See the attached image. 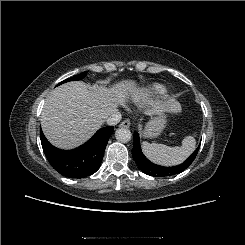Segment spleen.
<instances>
[{
    "mask_svg": "<svg viewBox=\"0 0 245 245\" xmlns=\"http://www.w3.org/2000/svg\"><path fill=\"white\" fill-rule=\"evenodd\" d=\"M142 150L145 156L152 162L174 166L185 161L195 150L196 140L194 136H187L182 141V146L169 147L164 144L142 142Z\"/></svg>",
    "mask_w": 245,
    "mask_h": 245,
    "instance_id": "3e777b00",
    "label": "spleen"
}]
</instances>
